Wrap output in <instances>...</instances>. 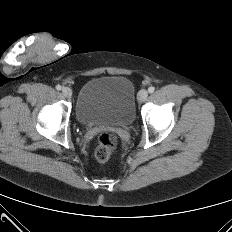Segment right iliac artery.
Instances as JSON below:
<instances>
[{
	"label": "right iliac artery",
	"mask_w": 232,
	"mask_h": 232,
	"mask_svg": "<svg viewBox=\"0 0 232 232\" xmlns=\"http://www.w3.org/2000/svg\"><path fill=\"white\" fill-rule=\"evenodd\" d=\"M56 89H57V90H61L62 87H61L60 85H57V86H56Z\"/></svg>",
	"instance_id": "right-iliac-artery-1"
}]
</instances>
